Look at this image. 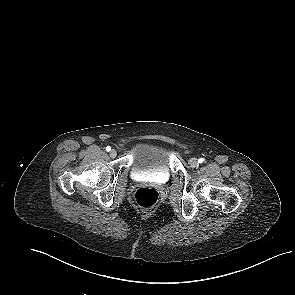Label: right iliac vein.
Here are the masks:
<instances>
[{"instance_id":"obj_1","label":"right iliac vein","mask_w":295,"mask_h":295,"mask_svg":"<svg viewBox=\"0 0 295 295\" xmlns=\"http://www.w3.org/2000/svg\"><path fill=\"white\" fill-rule=\"evenodd\" d=\"M117 156V151L115 150V149H112L111 151H110V157L111 158H115Z\"/></svg>"}]
</instances>
